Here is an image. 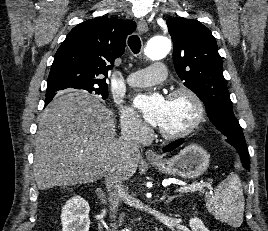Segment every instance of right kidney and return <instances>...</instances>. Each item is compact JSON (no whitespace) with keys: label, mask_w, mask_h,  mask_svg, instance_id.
I'll return each mask as SVG.
<instances>
[{"label":"right kidney","mask_w":268,"mask_h":231,"mask_svg":"<svg viewBox=\"0 0 268 231\" xmlns=\"http://www.w3.org/2000/svg\"><path fill=\"white\" fill-rule=\"evenodd\" d=\"M89 211V204L82 197L68 200L61 212L62 231H89Z\"/></svg>","instance_id":"right-kidney-1"}]
</instances>
